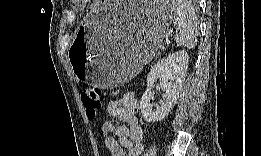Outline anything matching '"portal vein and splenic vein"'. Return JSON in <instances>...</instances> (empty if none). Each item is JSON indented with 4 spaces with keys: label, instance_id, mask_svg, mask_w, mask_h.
I'll use <instances>...</instances> for the list:
<instances>
[{
    "label": "portal vein and splenic vein",
    "instance_id": "18ae733b",
    "mask_svg": "<svg viewBox=\"0 0 261 156\" xmlns=\"http://www.w3.org/2000/svg\"><path fill=\"white\" fill-rule=\"evenodd\" d=\"M165 43H166V44H169V43H170L169 39H166V40H165Z\"/></svg>",
    "mask_w": 261,
    "mask_h": 156
}]
</instances>
